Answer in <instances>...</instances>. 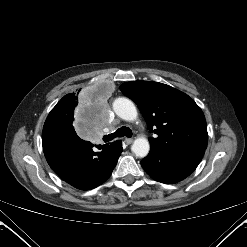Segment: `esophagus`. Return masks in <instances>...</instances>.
I'll use <instances>...</instances> for the list:
<instances>
[{
    "label": "esophagus",
    "instance_id": "34e87169",
    "mask_svg": "<svg viewBox=\"0 0 247 247\" xmlns=\"http://www.w3.org/2000/svg\"><path fill=\"white\" fill-rule=\"evenodd\" d=\"M125 143L127 144V145H129V144H131L132 142H133V139H131V138H125Z\"/></svg>",
    "mask_w": 247,
    "mask_h": 247
}]
</instances>
